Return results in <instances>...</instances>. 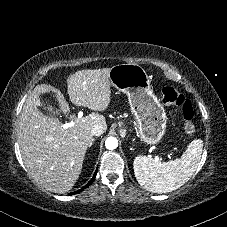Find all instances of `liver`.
Here are the masks:
<instances>
[{
  "mask_svg": "<svg viewBox=\"0 0 227 227\" xmlns=\"http://www.w3.org/2000/svg\"><path fill=\"white\" fill-rule=\"evenodd\" d=\"M110 68L85 69L72 74L67 81L68 94L76 106L95 112L77 118L69 115V104L61 92L48 84L37 85L25 101L19 119L18 141L23 162L30 176L42 187L54 193L72 189L82 170L87 148L93 144V125L107 129L105 117L98 112L108 108L111 100ZM52 92L58 108L48 105L44 114L40 95ZM62 112L73 126L63 128L57 117Z\"/></svg>",
  "mask_w": 227,
  "mask_h": 227,
  "instance_id": "6515ba94",
  "label": "liver"
}]
</instances>
